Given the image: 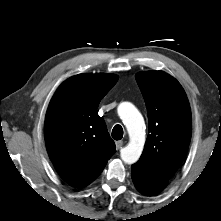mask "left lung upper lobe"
<instances>
[{
	"mask_svg": "<svg viewBox=\"0 0 221 221\" xmlns=\"http://www.w3.org/2000/svg\"><path fill=\"white\" fill-rule=\"evenodd\" d=\"M136 81L148 112V137L137 162L169 180L183 162L192 133L187 96L172 76L162 71L141 72Z\"/></svg>",
	"mask_w": 221,
	"mask_h": 221,
	"instance_id": "obj_1",
	"label": "left lung upper lobe"
}]
</instances>
